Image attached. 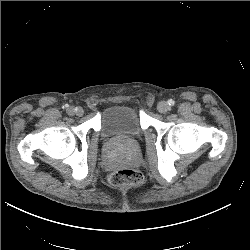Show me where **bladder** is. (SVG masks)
I'll return each mask as SVG.
<instances>
[{
	"instance_id": "obj_1",
	"label": "bladder",
	"mask_w": 250,
	"mask_h": 250,
	"mask_svg": "<svg viewBox=\"0 0 250 250\" xmlns=\"http://www.w3.org/2000/svg\"><path fill=\"white\" fill-rule=\"evenodd\" d=\"M99 132L103 140L118 138L139 140L143 136L140 114L129 104L109 105L101 115Z\"/></svg>"
}]
</instances>
